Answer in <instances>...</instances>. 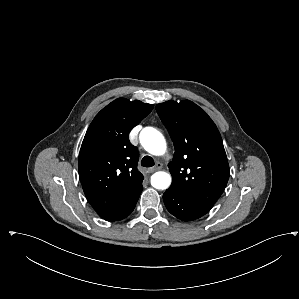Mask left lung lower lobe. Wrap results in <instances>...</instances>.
Returning a JSON list of instances; mask_svg holds the SVG:
<instances>
[{
	"label": "left lung lower lobe",
	"mask_w": 299,
	"mask_h": 299,
	"mask_svg": "<svg viewBox=\"0 0 299 299\" xmlns=\"http://www.w3.org/2000/svg\"><path fill=\"white\" fill-rule=\"evenodd\" d=\"M163 200L167 210L176 218L183 221L198 219L210 210L195 203L172 188L165 191Z\"/></svg>",
	"instance_id": "0a47b994"
}]
</instances>
